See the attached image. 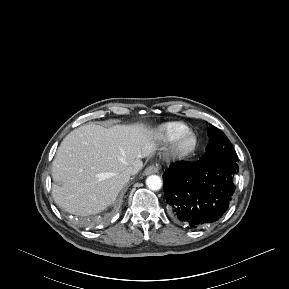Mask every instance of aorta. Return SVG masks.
I'll return each mask as SVG.
<instances>
[{
  "instance_id": "obj_1",
  "label": "aorta",
  "mask_w": 289,
  "mask_h": 289,
  "mask_svg": "<svg viewBox=\"0 0 289 289\" xmlns=\"http://www.w3.org/2000/svg\"><path fill=\"white\" fill-rule=\"evenodd\" d=\"M147 187L152 191H158L162 187V180L158 175H151L146 179Z\"/></svg>"
}]
</instances>
